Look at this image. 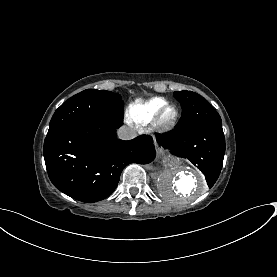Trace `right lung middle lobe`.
<instances>
[{
  "label": "right lung middle lobe",
  "mask_w": 277,
  "mask_h": 277,
  "mask_svg": "<svg viewBox=\"0 0 277 277\" xmlns=\"http://www.w3.org/2000/svg\"><path fill=\"white\" fill-rule=\"evenodd\" d=\"M123 106L119 94L104 90H84L68 99L55 111L48 133L75 123L122 120Z\"/></svg>",
  "instance_id": "right-lung-middle-lobe-1"
}]
</instances>
